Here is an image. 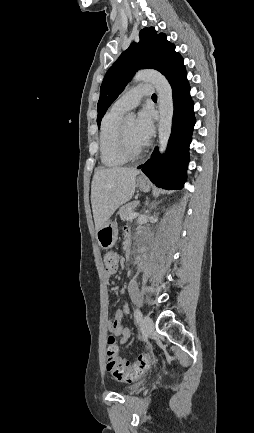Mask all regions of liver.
I'll use <instances>...</instances> for the list:
<instances>
[{
    "label": "liver",
    "mask_w": 254,
    "mask_h": 433,
    "mask_svg": "<svg viewBox=\"0 0 254 433\" xmlns=\"http://www.w3.org/2000/svg\"><path fill=\"white\" fill-rule=\"evenodd\" d=\"M138 174V170L125 167L100 168L95 171L91 184V204L96 231L110 219L117 208L132 198Z\"/></svg>",
    "instance_id": "6515ba94"
}]
</instances>
